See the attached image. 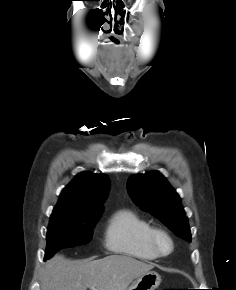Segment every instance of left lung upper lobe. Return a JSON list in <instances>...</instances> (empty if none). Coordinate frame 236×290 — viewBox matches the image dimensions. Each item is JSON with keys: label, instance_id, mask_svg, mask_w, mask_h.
I'll return each instance as SVG.
<instances>
[{"label": "left lung upper lobe", "instance_id": "1", "mask_svg": "<svg viewBox=\"0 0 236 290\" xmlns=\"http://www.w3.org/2000/svg\"><path fill=\"white\" fill-rule=\"evenodd\" d=\"M127 189L134 202L166 225L176 236L191 242L188 218L181 199L157 171L128 178Z\"/></svg>", "mask_w": 236, "mask_h": 290}]
</instances>
